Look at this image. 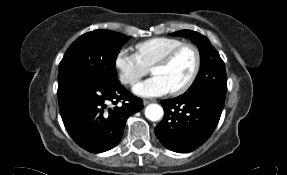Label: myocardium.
Instances as JSON below:
<instances>
[{"label": "myocardium", "mask_w": 287, "mask_h": 175, "mask_svg": "<svg viewBox=\"0 0 287 175\" xmlns=\"http://www.w3.org/2000/svg\"><path fill=\"white\" fill-rule=\"evenodd\" d=\"M185 48H190L193 50V52L195 54V66H194L193 72L190 75V77L188 78V80L179 88L170 91V93L172 95H175V96L181 95V94L185 93L186 91H188L193 86L195 81L197 80L198 75H199L200 70H201V65H202V57H201V52H200L199 48L193 43H182V44L176 46L175 48L171 49L170 51H168L162 57H160L152 65V69H151V71H152L155 67L166 65V64L170 63L173 60V58L180 51H182Z\"/></svg>", "instance_id": "1"}]
</instances>
